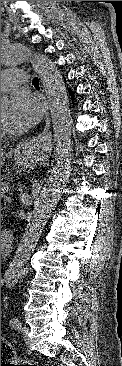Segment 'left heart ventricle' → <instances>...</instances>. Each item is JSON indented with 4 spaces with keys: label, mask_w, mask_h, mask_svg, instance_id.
Instances as JSON below:
<instances>
[{
    "label": "left heart ventricle",
    "mask_w": 122,
    "mask_h": 366,
    "mask_svg": "<svg viewBox=\"0 0 122 366\" xmlns=\"http://www.w3.org/2000/svg\"><path fill=\"white\" fill-rule=\"evenodd\" d=\"M6 107H2L1 108V129L2 130H8L6 125H5V114H6Z\"/></svg>",
    "instance_id": "b2bd125f"
}]
</instances>
